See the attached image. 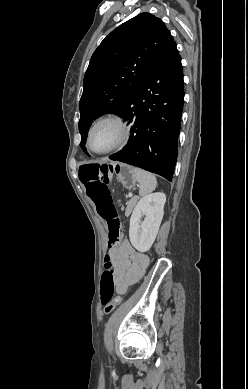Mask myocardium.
<instances>
[{
    "instance_id": "obj_1",
    "label": "myocardium",
    "mask_w": 248,
    "mask_h": 389,
    "mask_svg": "<svg viewBox=\"0 0 248 389\" xmlns=\"http://www.w3.org/2000/svg\"><path fill=\"white\" fill-rule=\"evenodd\" d=\"M103 124H112L116 128L117 136L115 140L108 147L104 149H95L93 147L94 133L96 129ZM128 138H129V127L127 122L118 115L110 114L98 118L91 124L87 135V146L92 152L103 155V154L110 153L118 149L119 147L123 146L127 142Z\"/></svg>"
}]
</instances>
